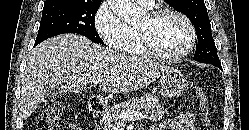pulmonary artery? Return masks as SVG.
<instances>
[{
    "mask_svg": "<svg viewBox=\"0 0 249 130\" xmlns=\"http://www.w3.org/2000/svg\"><path fill=\"white\" fill-rule=\"evenodd\" d=\"M136 1L146 7H153L154 5V0H136Z\"/></svg>",
    "mask_w": 249,
    "mask_h": 130,
    "instance_id": "pulmonary-artery-1",
    "label": "pulmonary artery"
}]
</instances>
